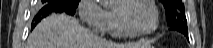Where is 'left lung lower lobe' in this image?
<instances>
[{"label":"left lung lower lobe","mask_w":213,"mask_h":48,"mask_svg":"<svg viewBox=\"0 0 213 48\" xmlns=\"http://www.w3.org/2000/svg\"><path fill=\"white\" fill-rule=\"evenodd\" d=\"M170 28L183 33L188 38L187 28H182V27L176 26V25H170Z\"/></svg>","instance_id":"obj_1"}]
</instances>
